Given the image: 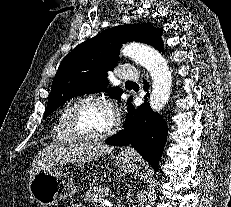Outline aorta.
Here are the masks:
<instances>
[{"label":"aorta","instance_id":"762f6f07","mask_svg":"<svg viewBox=\"0 0 231 207\" xmlns=\"http://www.w3.org/2000/svg\"><path fill=\"white\" fill-rule=\"evenodd\" d=\"M121 55L139 63L149 71L153 84L150 107L159 112L169 100L172 76L166 59L154 48L140 43H129L121 49Z\"/></svg>","mask_w":231,"mask_h":207}]
</instances>
